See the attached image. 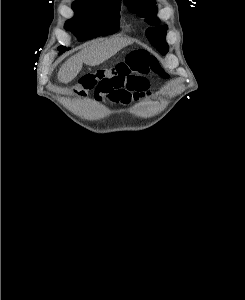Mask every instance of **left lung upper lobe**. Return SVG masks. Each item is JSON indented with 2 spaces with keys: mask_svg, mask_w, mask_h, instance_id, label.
<instances>
[{
  "mask_svg": "<svg viewBox=\"0 0 245 300\" xmlns=\"http://www.w3.org/2000/svg\"><path fill=\"white\" fill-rule=\"evenodd\" d=\"M124 3L132 13H138L140 17L146 18L149 24L154 26L159 24V19L156 17L157 7L155 0H124ZM146 36L161 54L167 53L168 45L165 40V26L160 25L148 28L146 30Z\"/></svg>",
  "mask_w": 245,
  "mask_h": 300,
  "instance_id": "obj_1",
  "label": "left lung upper lobe"
}]
</instances>
